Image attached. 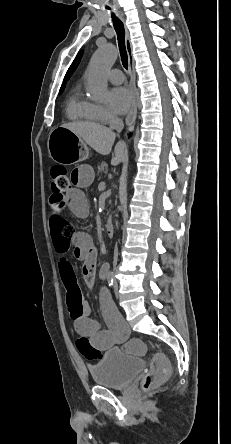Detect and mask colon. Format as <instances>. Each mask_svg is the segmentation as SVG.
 <instances>
[{"mask_svg":"<svg viewBox=\"0 0 231 444\" xmlns=\"http://www.w3.org/2000/svg\"><path fill=\"white\" fill-rule=\"evenodd\" d=\"M51 176V192L52 196L61 198L66 195L70 189V182L67 169L61 165H55L50 170ZM76 346L79 352L90 361L98 360L102 353L95 348L87 337H80L76 341ZM129 351L135 354H144L146 346L144 342L139 339H131L127 343ZM169 375V364L165 356L157 353L153 356L150 364V370L143 379V388L149 389L152 386L162 382Z\"/></svg>","mask_w":231,"mask_h":444,"instance_id":"1","label":"colon"}]
</instances>
